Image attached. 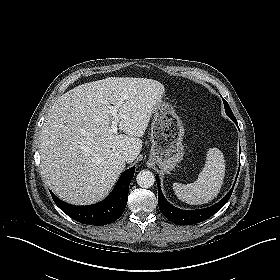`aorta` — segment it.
I'll return each instance as SVG.
<instances>
[{
	"label": "aorta",
	"instance_id": "obj_1",
	"mask_svg": "<svg viewBox=\"0 0 280 280\" xmlns=\"http://www.w3.org/2000/svg\"><path fill=\"white\" fill-rule=\"evenodd\" d=\"M136 181L140 187L150 188L155 183V176L148 170H142L137 174Z\"/></svg>",
	"mask_w": 280,
	"mask_h": 280
}]
</instances>
